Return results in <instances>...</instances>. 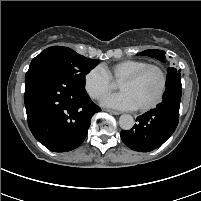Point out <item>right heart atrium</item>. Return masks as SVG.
<instances>
[{"label":"right heart atrium","instance_id":"obj_1","mask_svg":"<svg viewBox=\"0 0 201 201\" xmlns=\"http://www.w3.org/2000/svg\"><path fill=\"white\" fill-rule=\"evenodd\" d=\"M112 87V79L100 65L89 69L84 76V88L94 100L101 99Z\"/></svg>","mask_w":201,"mask_h":201}]
</instances>
